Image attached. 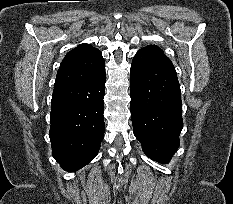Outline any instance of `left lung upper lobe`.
Masks as SVG:
<instances>
[{"instance_id": "5c2ea615", "label": "left lung upper lobe", "mask_w": 233, "mask_h": 204, "mask_svg": "<svg viewBox=\"0 0 233 204\" xmlns=\"http://www.w3.org/2000/svg\"><path fill=\"white\" fill-rule=\"evenodd\" d=\"M145 48L153 49V50H156V51L163 53V51L159 47H157L156 45L147 46Z\"/></svg>"}]
</instances>
